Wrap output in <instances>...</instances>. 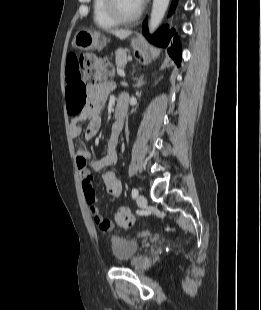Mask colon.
Masks as SVG:
<instances>
[{"label":"colon","instance_id":"1","mask_svg":"<svg viewBox=\"0 0 261 310\" xmlns=\"http://www.w3.org/2000/svg\"><path fill=\"white\" fill-rule=\"evenodd\" d=\"M79 65L84 69V79L90 84H95L99 80L108 77L111 73L109 63L102 57L95 55H83L78 59ZM116 222L123 228H131L135 224V217L127 208H120L116 213ZM110 225L103 222L101 230L107 231Z\"/></svg>","mask_w":261,"mask_h":310}]
</instances>
